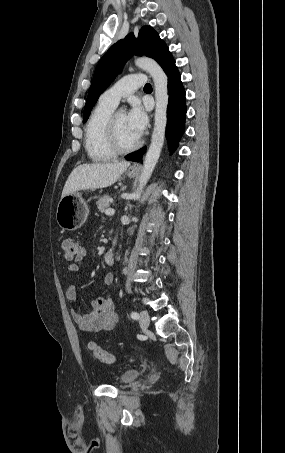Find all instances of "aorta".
Returning <instances> with one entry per match:
<instances>
[{
	"label": "aorta",
	"mask_w": 285,
	"mask_h": 453,
	"mask_svg": "<svg viewBox=\"0 0 285 453\" xmlns=\"http://www.w3.org/2000/svg\"><path fill=\"white\" fill-rule=\"evenodd\" d=\"M135 65L144 69L152 76L156 101L155 124L151 137V144L144 159L138 188L134 194V200H137L140 198L144 186L152 175L164 144L169 95L167 75L155 60L146 57L137 58L135 60Z\"/></svg>",
	"instance_id": "obj_1"
}]
</instances>
